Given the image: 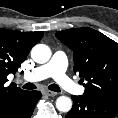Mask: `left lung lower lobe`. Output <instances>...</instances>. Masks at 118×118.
Wrapping results in <instances>:
<instances>
[{"instance_id": "left-lung-lower-lobe-1", "label": "left lung lower lobe", "mask_w": 118, "mask_h": 118, "mask_svg": "<svg viewBox=\"0 0 118 118\" xmlns=\"http://www.w3.org/2000/svg\"><path fill=\"white\" fill-rule=\"evenodd\" d=\"M73 106L66 118H115L118 104L87 98L83 95L72 96Z\"/></svg>"}]
</instances>
